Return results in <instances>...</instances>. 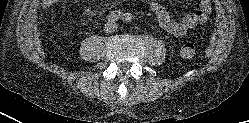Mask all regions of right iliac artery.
<instances>
[{"label":"right iliac artery","mask_w":249,"mask_h":123,"mask_svg":"<svg viewBox=\"0 0 249 123\" xmlns=\"http://www.w3.org/2000/svg\"><path fill=\"white\" fill-rule=\"evenodd\" d=\"M123 16V12H121L120 10H117V11H113V12H111L107 17H106V19H107V21L108 22H115V21H117L120 17H122Z\"/></svg>","instance_id":"82829eb1"}]
</instances>
